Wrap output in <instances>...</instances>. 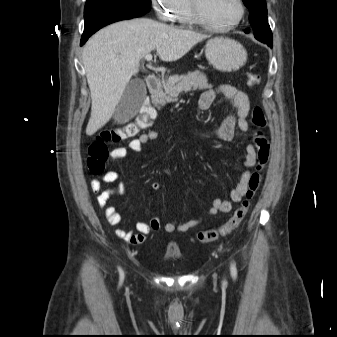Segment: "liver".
<instances>
[{"label": "liver", "instance_id": "obj_1", "mask_svg": "<svg viewBox=\"0 0 337 337\" xmlns=\"http://www.w3.org/2000/svg\"><path fill=\"white\" fill-rule=\"evenodd\" d=\"M206 36L139 18L109 25L92 36L83 49V64L91 92L88 136L112 117L140 60L156 50L166 62L182 58Z\"/></svg>", "mask_w": 337, "mask_h": 337}]
</instances>
